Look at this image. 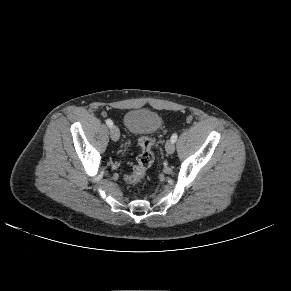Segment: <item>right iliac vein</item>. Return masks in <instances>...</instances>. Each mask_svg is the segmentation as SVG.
Returning a JSON list of instances; mask_svg holds the SVG:
<instances>
[{"instance_id": "63e3f726", "label": "right iliac vein", "mask_w": 291, "mask_h": 291, "mask_svg": "<svg viewBox=\"0 0 291 291\" xmlns=\"http://www.w3.org/2000/svg\"><path fill=\"white\" fill-rule=\"evenodd\" d=\"M110 136L113 141H118L120 138V131L117 126H112L110 129Z\"/></svg>"}]
</instances>
